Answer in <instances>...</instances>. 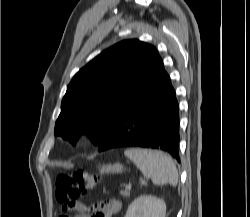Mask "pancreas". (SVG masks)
Here are the masks:
<instances>
[{"instance_id": "1", "label": "pancreas", "mask_w": 250, "mask_h": 217, "mask_svg": "<svg viewBox=\"0 0 250 217\" xmlns=\"http://www.w3.org/2000/svg\"><path fill=\"white\" fill-rule=\"evenodd\" d=\"M120 194H121L123 197H130V191H129V190H121V191H120Z\"/></svg>"}]
</instances>
